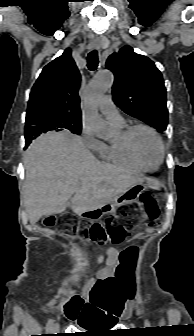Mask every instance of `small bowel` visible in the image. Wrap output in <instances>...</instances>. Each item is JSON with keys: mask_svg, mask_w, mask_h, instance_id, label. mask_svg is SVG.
I'll return each mask as SVG.
<instances>
[{"mask_svg": "<svg viewBox=\"0 0 194 336\" xmlns=\"http://www.w3.org/2000/svg\"><path fill=\"white\" fill-rule=\"evenodd\" d=\"M119 259L120 252L115 248L108 249L98 258V263L104 264V267L87 282L83 290L87 304L80 316V326L106 325L120 317V305L126 298V291L116 276Z\"/></svg>", "mask_w": 194, "mask_h": 336, "instance_id": "1", "label": "small bowel"}]
</instances>
